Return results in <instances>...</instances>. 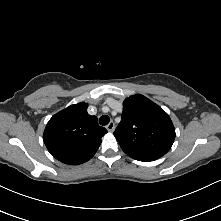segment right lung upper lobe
I'll use <instances>...</instances> for the list:
<instances>
[{
	"label": "right lung upper lobe",
	"instance_id": "right-lung-upper-lobe-1",
	"mask_svg": "<svg viewBox=\"0 0 221 221\" xmlns=\"http://www.w3.org/2000/svg\"><path fill=\"white\" fill-rule=\"evenodd\" d=\"M88 104L71 105L53 115L43 134L44 143L54 158L77 165L90 160L107 133L96 116L87 113Z\"/></svg>",
	"mask_w": 221,
	"mask_h": 221
}]
</instances>
